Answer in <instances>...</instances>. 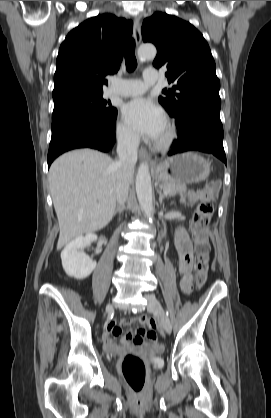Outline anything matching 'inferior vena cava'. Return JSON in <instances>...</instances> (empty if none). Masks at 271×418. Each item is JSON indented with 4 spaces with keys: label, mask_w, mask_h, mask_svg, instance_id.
I'll list each match as a JSON object with an SVG mask.
<instances>
[{
    "label": "inferior vena cava",
    "mask_w": 271,
    "mask_h": 418,
    "mask_svg": "<svg viewBox=\"0 0 271 418\" xmlns=\"http://www.w3.org/2000/svg\"><path fill=\"white\" fill-rule=\"evenodd\" d=\"M138 140L137 135H129L117 146L119 160L115 163L117 167L115 189L119 206L124 205L128 197L129 185L137 162Z\"/></svg>",
    "instance_id": "inferior-vena-cava-1"
}]
</instances>
